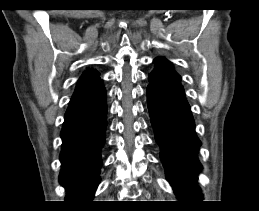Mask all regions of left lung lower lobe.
Here are the masks:
<instances>
[{
  "mask_svg": "<svg viewBox=\"0 0 259 211\" xmlns=\"http://www.w3.org/2000/svg\"><path fill=\"white\" fill-rule=\"evenodd\" d=\"M147 103L166 177L180 198L201 200L196 183L202 168L198 161L201 145L183 86L148 76Z\"/></svg>",
  "mask_w": 259,
  "mask_h": 211,
  "instance_id": "0a47b994",
  "label": "left lung lower lobe"
}]
</instances>
